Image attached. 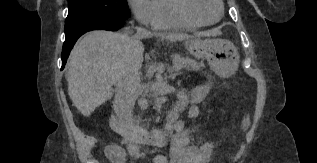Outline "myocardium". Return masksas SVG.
I'll return each mask as SVG.
<instances>
[{
    "instance_id": "myocardium-1",
    "label": "myocardium",
    "mask_w": 317,
    "mask_h": 163,
    "mask_svg": "<svg viewBox=\"0 0 317 163\" xmlns=\"http://www.w3.org/2000/svg\"><path fill=\"white\" fill-rule=\"evenodd\" d=\"M186 3H187V0H171L170 7L174 16L181 22L186 23L188 25H192V26L212 25L220 21L224 14V6H223L222 0H217L219 10H220L219 16L216 19L211 21L198 19L190 15L187 10Z\"/></svg>"
}]
</instances>
